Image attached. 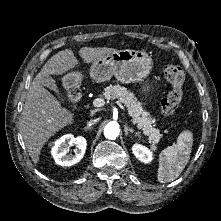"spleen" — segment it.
Returning a JSON list of instances; mask_svg holds the SVG:
<instances>
[{
    "instance_id": "spleen-1",
    "label": "spleen",
    "mask_w": 221,
    "mask_h": 221,
    "mask_svg": "<svg viewBox=\"0 0 221 221\" xmlns=\"http://www.w3.org/2000/svg\"><path fill=\"white\" fill-rule=\"evenodd\" d=\"M193 145V134L191 131H182L177 142L168 146L159 155V167L157 179L160 183H167L177 179L190 159Z\"/></svg>"
}]
</instances>
